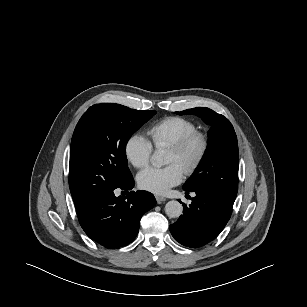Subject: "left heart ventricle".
<instances>
[{
	"mask_svg": "<svg viewBox=\"0 0 307 307\" xmlns=\"http://www.w3.org/2000/svg\"><path fill=\"white\" fill-rule=\"evenodd\" d=\"M197 150V145H192L184 156H179L171 151H168L166 164H177L184 169L186 163L193 157Z\"/></svg>",
	"mask_w": 307,
	"mask_h": 307,
	"instance_id": "obj_1",
	"label": "left heart ventricle"
}]
</instances>
